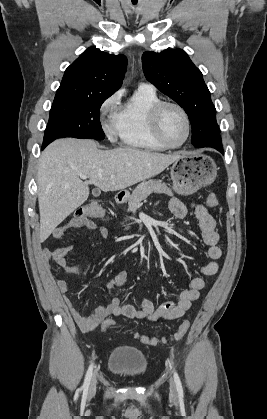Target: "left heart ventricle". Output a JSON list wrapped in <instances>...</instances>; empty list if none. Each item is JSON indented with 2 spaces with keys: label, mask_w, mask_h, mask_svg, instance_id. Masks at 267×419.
Returning <instances> with one entry per match:
<instances>
[{
  "label": "left heart ventricle",
  "mask_w": 267,
  "mask_h": 419,
  "mask_svg": "<svg viewBox=\"0 0 267 419\" xmlns=\"http://www.w3.org/2000/svg\"><path fill=\"white\" fill-rule=\"evenodd\" d=\"M161 130L165 139L171 144H179L186 135V125L181 113L173 108L167 107L161 116Z\"/></svg>",
  "instance_id": "b2bd125f"
}]
</instances>
